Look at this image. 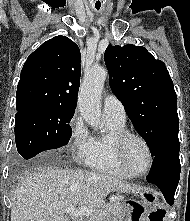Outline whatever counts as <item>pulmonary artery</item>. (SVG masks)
I'll list each match as a JSON object with an SVG mask.
<instances>
[{
  "instance_id": "1",
  "label": "pulmonary artery",
  "mask_w": 190,
  "mask_h": 221,
  "mask_svg": "<svg viewBox=\"0 0 190 221\" xmlns=\"http://www.w3.org/2000/svg\"><path fill=\"white\" fill-rule=\"evenodd\" d=\"M103 114L105 118L118 122H126V112L121 101L114 95H107L103 101Z\"/></svg>"
}]
</instances>
